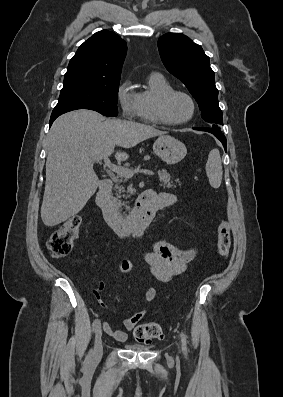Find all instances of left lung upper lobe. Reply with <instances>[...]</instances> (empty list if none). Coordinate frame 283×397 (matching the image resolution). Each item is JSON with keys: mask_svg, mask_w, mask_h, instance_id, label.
I'll list each match as a JSON object with an SVG mask.
<instances>
[{"mask_svg": "<svg viewBox=\"0 0 283 397\" xmlns=\"http://www.w3.org/2000/svg\"><path fill=\"white\" fill-rule=\"evenodd\" d=\"M158 49L167 70L181 80L197 101L202 118L222 132V111L218 105L215 74L202 47L181 33H167L158 39Z\"/></svg>", "mask_w": 283, "mask_h": 397, "instance_id": "left-lung-upper-lobe-1", "label": "left lung upper lobe"}]
</instances>
